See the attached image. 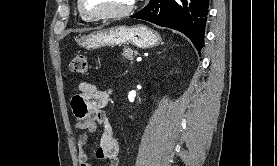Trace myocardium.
<instances>
[{"label":"myocardium","mask_w":277,"mask_h":166,"mask_svg":"<svg viewBox=\"0 0 277 166\" xmlns=\"http://www.w3.org/2000/svg\"><path fill=\"white\" fill-rule=\"evenodd\" d=\"M137 0H131L129 5L120 11L115 12H107V13H100V14H94L87 12L83 7V0H78V10L80 14L90 20H114V19H122L127 17L131 14V12L134 10L136 6Z\"/></svg>","instance_id":"obj_1"}]
</instances>
